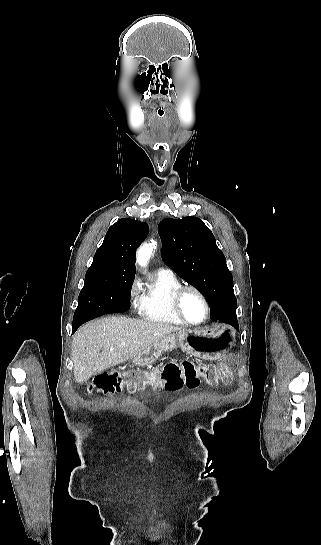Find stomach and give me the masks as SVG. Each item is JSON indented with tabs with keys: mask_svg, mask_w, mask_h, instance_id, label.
<instances>
[{
	"mask_svg": "<svg viewBox=\"0 0 321 545\" xmlns=\"http://www.w3.org/2000/svg\"><path fill=\"white\" fill-rule=\"evenodd\" d=\"M236 343V331L229 325H217L206 331H179L162 337L160 341L141 351L135 357V367H146L155 363L162 353L180 347L187 355H193L206 361H217L227 355Z\"/></svg>",
	"mask_w": 321,
	"mask_h": 545,
	"instance_id": "1",
	"label": "stomach"
}]
</instances>
